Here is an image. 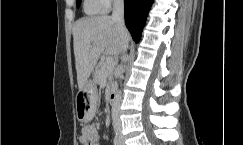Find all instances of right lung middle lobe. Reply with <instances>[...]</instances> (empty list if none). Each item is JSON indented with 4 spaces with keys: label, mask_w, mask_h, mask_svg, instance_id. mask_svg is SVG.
Here are the masks:
<instances>
[{
    "label": "right lung middle lobe",
    "mask_w": 243,
    "mask_h": 145,
    "mask_svg": "<svg viewBox=\"0 0 243 145\" xmlns=\"http://www.w3.org/2000/svg\"><path fill=\"white\" fill-rule=\"evenodd\" d=\"M80 3H81V0L76 1L77 7L80 5Z\"/></svg>",
    "instance_id": "dd1d6c3e"
}]
</instances>
